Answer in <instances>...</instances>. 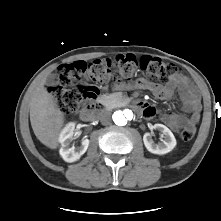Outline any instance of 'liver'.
I'll use <instances>...</instances> for the list:
<instances>
[{"label": "liver", "instance_id": "1", "mask_svg": "<svg viewBox=\"0 0 221 221\" xmlns=\"http://www.w3.org/2000/svg\"><path fill=\"white\" fill-rule=\"evenodd\" d=\"M45 79L35 88L30 103V122L37 139L49 147H58L64 113L57 107L53 96L44 87Z\"/></svg>", "mask_w": 221, "mask_h": 221}]
</instances>
